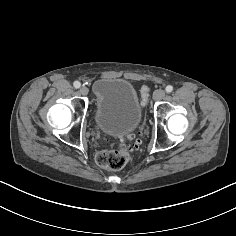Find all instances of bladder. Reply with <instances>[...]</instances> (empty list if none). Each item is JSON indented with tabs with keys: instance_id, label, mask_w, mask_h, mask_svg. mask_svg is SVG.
I'll use <instances>...</instances> for the list:
<instances>
[{
	"instance_id": "obj_1",
	"label": "bladder",
	"mask_w": 236,
	"mask_h": 236,
	"mask_svg": "<svg viewBox=\"0 0 236 236\" xmlns=\"http://www.w3.org/2000/svg\"><path fill=\"white\" fill-rule=\"evenodd\" d=\"M94 118L105 134L132 133L142 120L143 107L133 85L124 79L101 78L94 83Z\"/></svg>"
}]
</instances>
